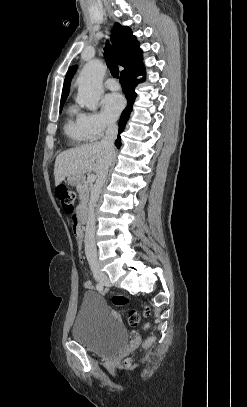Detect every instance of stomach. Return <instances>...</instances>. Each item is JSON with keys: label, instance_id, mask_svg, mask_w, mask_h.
Segmentation results:
<instances>
[{"label": "stomach", "instance_id": "1", "mask_svg": "<svg viewBox=\"0 0 247 407\" xmlns=\"http://www.w3.org/2000/svg\"><path fill=\"white\" fill-rule=\"evenodd\" d=\"M67 182L70 185L77 186L84 182V178H83V176L71 175V176L67 177Z\"/></svg>", "mask_w": 247, "mask_h": 407}]
</instances>
